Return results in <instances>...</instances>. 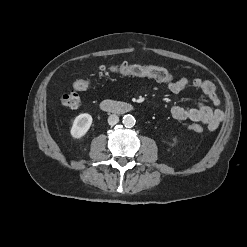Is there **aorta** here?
I'll use <instances>...</instances> for the list:
<instances>
[{"mask_svg": "<svg viewBox=\"0 0 247 247\" xmlns=\"http://www.w3.org/2000/svg\"><path fill=\"white\" fill-rule=\"evenodd\" d=\"M135 118L134 116L128 114V115H124L123 117V124L125 127L131 128L135 125Z\"/></svg>", "mask_w": 247, "mask_h": 247, "instance_id": "1", "label": "aorta"}]
</instances>
